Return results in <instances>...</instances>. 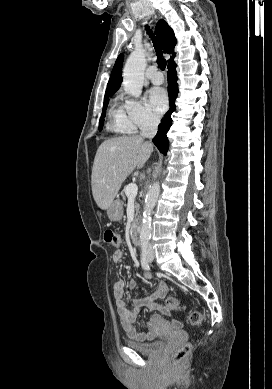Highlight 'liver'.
I'll use <instances>...</instances> for the list:
<instances>
[{
  "instance_id": "liver-1",
  "label": "liver",
  "mask_w": 272,
  "mask_h": 389,
  "mask_svg": "<svg viewBox=\"0 0 272 389\" xmlns=\"http://www.w3.org/2000/svg\"><path fill=\"white\" fill-rule=\"evenodd\" d=\"M153 144L139 135L108 139L98 148L91 176L92 194L98 207L107 210L122 183L149 159Z\"/></svg>"
}]
</instances>
